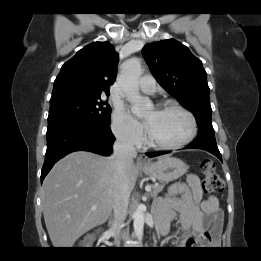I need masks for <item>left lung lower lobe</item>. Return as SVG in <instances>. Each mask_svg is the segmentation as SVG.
Here are the masks:
<instances>
[{
  "instance_id": "1",
  "label": "left lung lower lobe",
  "mask_w": 261,
  "mask_h": 261,
  "mask_svg": "<svg viewBox=\"0 0 261 261\" xmlns=\"http://www.w3.org/2000/svg\"><path fill=\"white\" fill-rule=\"evenodd\" d=\"M185 149H202L206 150L216 157H218L221 161V154L218 150L216 140H215V135L214 134H202L198 135L197 138L188 146L185 147ZM170 151H164V152H148L146 155L148 157H155L163 154H167Z\"/></svg>"
}]
</instances>
